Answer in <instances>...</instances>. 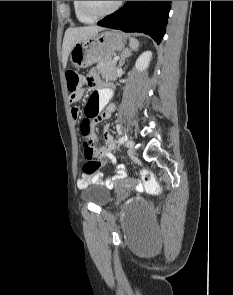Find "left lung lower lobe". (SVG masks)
I'll return each instance as SVG.
<instances>
[{
    "label": "left lung lower lobe",
    "mask_w": 233,
    "mask_h": 295,
    "mask_svg": "<svg viewBox=\"0 0 233 295\" xmlns=\"http://www.w3.org/2000/svg\"><path fill=\"white\" fill-rule=\"evenodd\" d=\"M171 1H126L125 5L98 22L124 32H143L159 44L164 36Z\"/></svg>",
    "instance_id": "1"
}]
</instances>
